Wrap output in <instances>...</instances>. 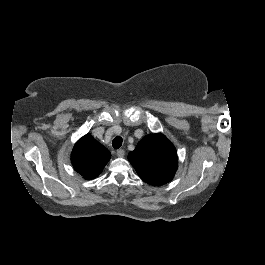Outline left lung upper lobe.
Masks as SVG:
<instances>
[{"instance_id":"1","label":"left lung upper lobe","mask_w":265,"mask_h":265,"mask_svg":"<svg viewBox=\"0 0 265 265\" xmlns=\"http://www.w3.org/2000/svg\"><path fill=\"white\" fill-rule=\"evenodd\" d=\"M128 160L140 178L154 186L172 180L178 165L176 149L163 134L145 136L129 152Z\"/></svg>"}]
</instances>
